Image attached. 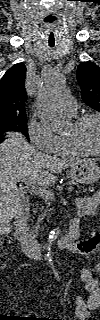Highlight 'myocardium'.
Listing matches in <instances>:
<instances>
[{
	"mask_svg": "<svg viewBox=\"0 0 100 320\" xmlns=\"http://www.w3.org/2000/svg\"><path fill=\"white\" fill-rule=\"evenodd\" d=\"M90 120H94L98 123L99 126V134H100V117L96 114H85L82 115L78 118H76L73 121V125L76 128L81 127L85 122L90 121ZM67 142L73 147L75 148L77 151L81 152L82 154H86V155H98L100 153V143H99V147L96 150H91L86 148L85 146H83L75 137H65Z\"/></svg>",
	"mask_w": 100,
	"mask_h": 320,
	"instance_id": "obj_1",
	"label": "myocardium"
}]
</instances>
